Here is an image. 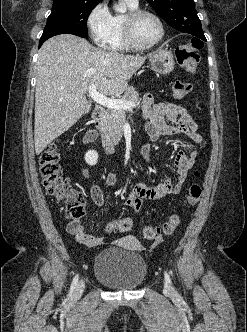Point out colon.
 Wrapping results in <instances>:
<instances>
[{
    "label": "colon",
    "mask_w": 247,
    "mask_h": 332,
    "mask_svg": "<svg viewBox=\"0 0 247 332\" xmlns=\"http://www.w3.org/2000/svg\"><path fill=\"white\" fill-rule=\"evenodd\" d=\"M203 43L192 39L188 44L181 45L176 50L179 65L187 72L197 70L200 56L199 51ZM192 90V85L184 81H175L172 84V95L175 99H182ZM40 174L47 193L65 203V213L68 219L79 220L86 214L84 195L71 187L70 181L64 176L60 166V150L57 143H51L42 152L39 158ZM198 173L196 172V175ZM202 189L199 184L193 183L188 189L187 200L196 204L201 199ZM180 223L178 214H171L161 226L146 227L143 237L146 240H159L163 235H171ZM133 223L129 218H121L106 225L107 233H123L132 229Z\"/></svg>",
    "instance_id": "colon-1"
}]
</instances>
